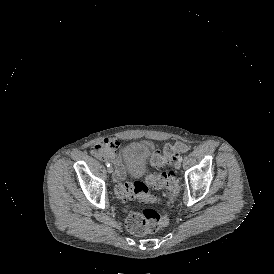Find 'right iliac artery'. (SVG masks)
<instances>
[{"label":"right iliac artery","mask_w":274,"mask_h":274,"mask_svg":"<svg viewBox=\"0 0 274 274\" xmlns=\"http://www.w3.org/2000/svg\"><path fill=\"white\" fill-rule=\"evenodd\" d=\"M106 166L109 167V166H110V163H109V162H106Z\"/></svg>","instance_id":"1"}]
</instances>
